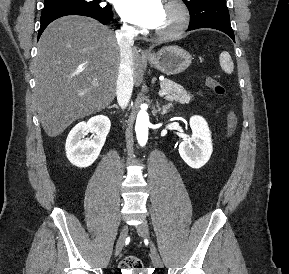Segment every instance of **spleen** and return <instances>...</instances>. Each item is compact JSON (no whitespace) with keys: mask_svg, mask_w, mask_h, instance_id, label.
I'll return each mask as SVG.
<instances>
[{"mask_svg":"<svg viewBox=\"0 0 289 274\" xmlns=\"http://www.w3.org/2000/svg\"><path fill=\"white\" fill-rule=\"evenodd\" d=\"M220 66L225 73L231 74L233 72L234 64L228 52L221 53Z\"/></svg>","mask_w":289,"mask_h":274,"instance_id":"obj_1","label":"spleen"}]
</instances>
